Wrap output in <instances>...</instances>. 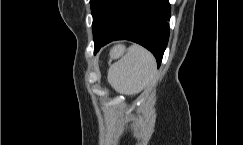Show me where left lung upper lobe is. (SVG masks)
Wrapping results in <instances>:
<instances>
[{
  "label": "left lung upper lobe",
  "instance_id": "obj_1",
  "mask_svg": "<svg viewBox=\"0 0 243 145\" xmlns=\"http://www.w3.org/2000/svg\"><path fill=\"white\" fill-rule=\"evenodd\" d=\"M128 0H90L93 30L107 32Z\"/></svg>",
  "mask_w": 243,
  "mask_h": 145
}]
</instances>
